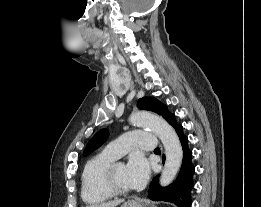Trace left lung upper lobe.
I'll list each match as a JSON object with an SVG mask.
<instances>
[{
    "label": "left lung upper lobe",
    "instance_id": "left-lung-upper-lobe-1",
    "mask_svg": "<svg viewBox=\"0 0 261 207\" xmlns=\"http://www.w3.org/2000/svg\"><path fill=\"white\" fill-rule=\"evenodd\" d=\"M137 106L143 110H149L161 115L167 122L173 126L177 121L175 119V115L170 113L167 110L166 105L162 104L154 97H143L138 100ZM108 137V131L106 129H102L97 132L87 144L83 156L89 155L92 151H94L97 147L102 145Z\"/></svg>",
    "mask_w": 261,
    "mask_h": 207
}]
</instances>
